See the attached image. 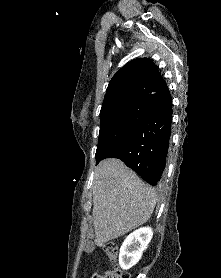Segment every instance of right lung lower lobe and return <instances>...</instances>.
Wrapping results in <instances>:
<instances>
[{
	"mask_svg": "<svg viewBox=\"0 0 221 278\" xmlns=\"http://www.w3.org/2000/svg\"><path fill=\"white\" fill-rule=\"evenodd\" d=\"M152 112L125 138L97 161L121 159L152 186L160 181L166 163L172 123V99L169 90L148 99Z\"/></svg>",
	"mask_w": 221,
	"mask_h": 278,
	"instance_id": "obj_1",
	"label": "right lung lower lobe"
}]
</instances>
